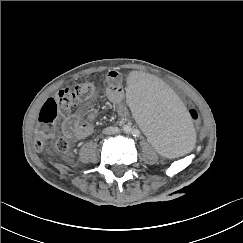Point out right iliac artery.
I'll use <instances>...</instances> for the list:
<instances>
[{"mask_svg": "<svg viewBox=\"0 0 243 243\" xmlns=\"http://www.w3.org/2000/svg\"><path fill=\"white\" fill-rule=\"evenodd\" d=\"M124 131H125L126 133L131 132V128H130V126H125V127H124Z\"/></svg>", "mask_w": 243, "mask_h": 243, "instance_id": "right-iliac-artery-1", "label": "right iliac artery"}]
</instances>
